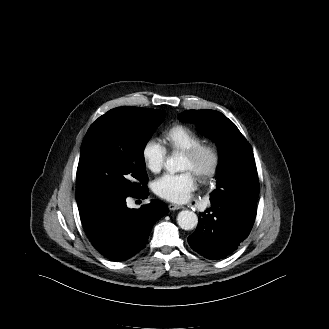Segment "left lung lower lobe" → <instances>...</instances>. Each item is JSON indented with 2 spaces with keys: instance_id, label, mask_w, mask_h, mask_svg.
Segmentation results:
<instances>
[{
  "instance_id": "obj_1",
  "label": "left lung lower lobe",
  "mask_w": 329,
  "mask_h": 329,
  "mask_svg": "<svg viewBox=\"0 0 329 329\" xmlns=\"http://www.w3.org/2000/svg\"><path fill=\"white\" fill-rule=\"evenodd\" d=\"M228 192L222 200H211V207L199 214L198 226L188 237L191 248L214 260L228 256L249 235L259 195L257 169Z\"/></svg>"
}]
</instances>
